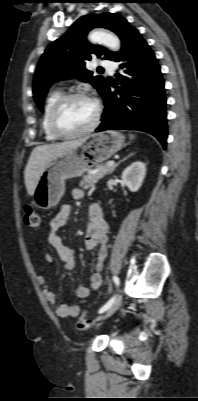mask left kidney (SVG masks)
Here are the masks:
<instances>
[{
    "label": "left kidney",
    "mask_w": 198,
    "mask_h": 401,
    "mask_svg": "<svg viewBox=\"0 0 198 401\" xmlns=\"http://www.w3.org/2000/svg\"><path fill=\"white\" fill-rule=\"evenodd\" d=\"M146 174V166L137 161L127 167L122 173V181L131 192H136L141 187Z\"/></svg>",
    "instance_id": "5707ae66"
}]
</instances>
